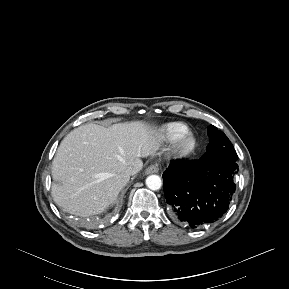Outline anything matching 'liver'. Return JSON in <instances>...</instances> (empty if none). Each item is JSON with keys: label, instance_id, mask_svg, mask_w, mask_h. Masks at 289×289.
Segmentation results:
<instances>
[{"label": "liver", "instance_id": "6515ba94", "mask_svg": "<svg viewBox=\"0 0 289 289\" xmlns=\"http://www.w3.org/2000/svg\"><path fill=\"white\" fill-rule=\"evenodd\" d=\"M158 147L155 130L144 121L75 128L52 162L55 203L81 217L101 213L128 183L124 171L132 167L137 174L143 167L141 158L154 155Z\"/></svg>", "mask_w": 289, "mask_h": 289}]
</instances>
